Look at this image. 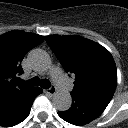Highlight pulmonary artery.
Segmentation results:
<instances>
[{"label":"pulmonary artery","instance_id":"obj_1","mask_svg":"<svg viewBox=\"0 0 128 128\" xmlns=\"http://www.w3.org/2000/svg\"><path fill=\"white\" fill-rule=\"evenodd\" d=\"M53 80L55 85L63 91L70 88L69 81L61 74L59 69L53 72Z\"/></svg>","mask_w":128,"mask_h":128}]
</instances>
